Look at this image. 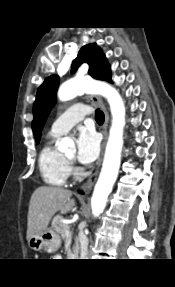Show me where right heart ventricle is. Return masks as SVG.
Wrapping results in <instances>:
<instances>
[{
    "label": "right heart ventricle",
    "mask_w": 175,
    "mask_h": 287,
    "mask_svg": "<svg viewBox=\"0 0 175 287\" xmlns=\"http://www.w3.org/2000/svg\"><path fill=\"white\" fill-rule=\"evenodd\" d=\"M56 137L52 133L48 135L39 153L38 166L46 184L63 186L68 180L70 170L65 156L54 147Z\"/></svg>",
    "instance_id": "1"
}]
</instances>
